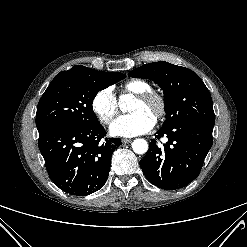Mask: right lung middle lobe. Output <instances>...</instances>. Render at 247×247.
Instances as JSON below:
<instances>
[{
    "label": "right lung middle lobe",
    "mask_w": 247,
    "mask_h": 247,
    "mask_svg": "<svg viewBox=\"0 0 247 247\" xmlns=\"http://www.w3.org/2000/svg\"><path fill=\"white\" fill-rule=\"evenodd\" d=\"M124 78L125 75L119 72L106 75L78 69L60 72L39 100L36 113L38 132L60 126L98 124L92 108L96 94Z\"/></svg>",
    "instance_id": "obj_1"
}]
</instances>
